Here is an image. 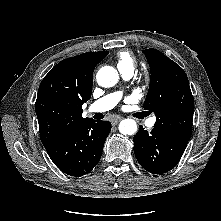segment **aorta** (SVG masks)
Wrapping results in <instances>:
<instances>
[{
  "mask_svg": "<svg viewBox=\"0 0 221 221\" xmlns=\"http://www.w3.org/2000/svg\"><path fill=\"white\" fill-rule=\"evenodd\" d=\"M96 79L100 86L109 88L117 84L119 75L115 68L104 66L97 72ZM119 131L124 135H132L137 131V124L133 119H124L119 124Z\"/></svg>",
  "mask_w": 221,
  "mask_h": 221,
  "instance_id": "obj_1",
  "label": "aorta"
}]
</instances>
